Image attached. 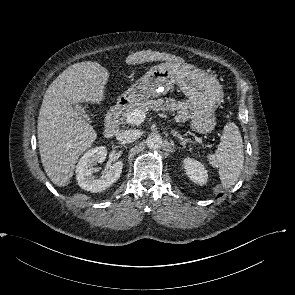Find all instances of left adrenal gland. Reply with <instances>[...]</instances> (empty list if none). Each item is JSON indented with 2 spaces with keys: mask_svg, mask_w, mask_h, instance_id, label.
Returning <instances> with one entry per match:
<instances>
[{
  "mask_svg": "<svg viewBox=\"0 0 295 295\" xmlns=\"http://www.w3.org/2000/svg\"><path fill=\"white\" fill-rule=\"evenodd\" d=\"M172 134L173 136L177 137L181 142L180 144L183 146V147H186V144L189 142L191 143V140L190 139H187L185 137H183L182 135H180L177 131H173L172 130Z\"/></svg>",
  "mask_w": 295,
  "mask_h": 295,
  "instance_id": "obj_1",
  "label": "left adrenal gland"
}]
</instances>
